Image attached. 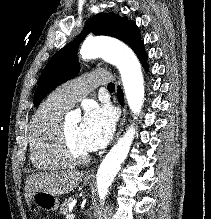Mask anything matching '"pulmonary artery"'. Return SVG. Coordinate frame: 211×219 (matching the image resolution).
I'll return each instance as SVG.
<instances>
[{"label":"pulmonary artery","mask_w":211,"mask_h":219,"mask_svg":"<svg viewBox=\"0 0 211 219\" xmlns=\"http://www.w3.org/2000/svg\"><path fill=\"white\" fill-rule=\"evenodd\" d=\"M109 80L110 75L106 71L87 72L61 85L49 98L58 105L68 109L84 97L90 89L107 83Z\"/></svg>","instance_id":"obj_1"}]
</instances>
